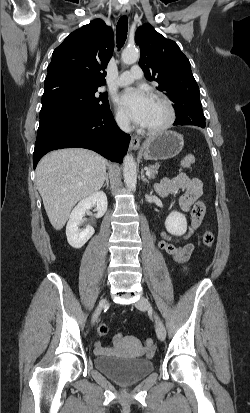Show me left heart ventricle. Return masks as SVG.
<instances>
[{
  "mask_svg": "<svg viewBox=\"0 0 250 413\" xmlns=\"http://www.w3.org/2000/svg\"><path fill=\"white\" fill-rule=\"evenodd\" d=\"M167 119V111L163 105L152 99L144 127L152 128L162 125Z\"/></svg>",
  "mask_w": 250,
  "mask_h": 413,
  "instance_id": "b2bd125f",
  "label": "left heart ventricle"
}]
</instances>
